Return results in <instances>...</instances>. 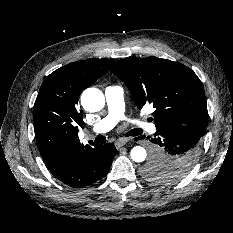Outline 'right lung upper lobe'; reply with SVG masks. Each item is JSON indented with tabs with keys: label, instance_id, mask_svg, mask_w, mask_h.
<instances>
[{
	"label": "right lung upper lobe",
	"instance_id": "cb5924a9",
	"mask_svg": "<svg viewBox=\"0 0 233 233\" xmlns=\"http://www.w3.org/2000/svg\"><path fill=\"white\" fill-rule=\"evenodd\" d=\"M114 62L105 58L76 61L55 70L42 83L33 120L38 149L49 169L85 147L78 138L79 128L85 126L77 110L79 96Z\"/></svg>",
	"mask_w": 233,
	"mask_h": 233
}]
</instances>
